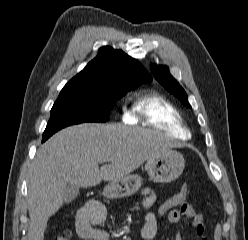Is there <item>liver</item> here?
Wrapping results in <instances>:
<instances>
[{"mask_svg":"<svg viewBox=\"0 0 248 240\" xmlns=\"http://www.w3.org/2000/svg\"><path fill=\"white\" fill-rule=\"evenodd\" d=\"M164 134L115 124L84 123L62 129L37 151L28 185L33 240H43L48 219L63 205L68 185L117 181L146 160L177 147ZM108 162L99 168V163Z\"/></svg>","mask_w":248,"mask_h":240,"instance_id":"1","label":"liver"}]
</instances>
